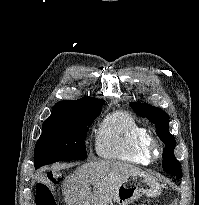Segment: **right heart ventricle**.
<instances>
[{
    "instance_id": "right-heart-ventricle-1",
    "label": "right heart ventricle",
    "mask_w": 199,
    "mask_h": 205,
    "mask_svg": "<svg viewBox=\"0 0 199 205\" xmlns=\"http://www.w3.org/2000/svg\"><path fill=\"white\" fill-rule=\"evenodd\" d=\"M147 129L124 111L109 114L100 124L96 137L97 154L108 160L137 165L151 162L146 152Z\"/></svg>"
}]
</instances>
